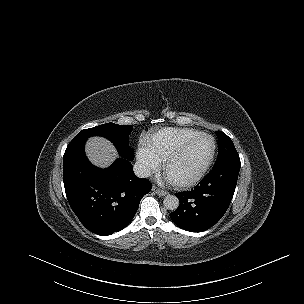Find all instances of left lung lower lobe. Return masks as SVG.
I'll list each match as a JSON object with an SVG mask.
<instances>
[{"label": "left lung lower lobe", "mask_w": 304, "mask_h": 304, "mask_svg": "<svg viewBox=\"0 0 304 304\" xmlns=\"http://www.w3.org/2000/svg\"><path fill=\"white\" fill-rule=\"evenodd\" d=\"M240 166V159H234L213 167L191 191L176 194L180 205L170 214L172 221L191 232L214 226L230 205Z\"/></svg>", "instance_id": "left-lung-lower-lobe-1"}]
</instances>
